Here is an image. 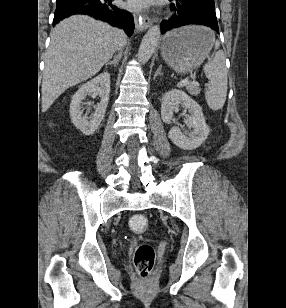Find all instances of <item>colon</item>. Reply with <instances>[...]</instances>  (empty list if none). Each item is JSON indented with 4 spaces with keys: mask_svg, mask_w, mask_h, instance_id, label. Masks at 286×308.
I'll return each instance as SVG.
<instances>
[{
    "mask_svg": "<svg viewBox=\"0 0 286 308\" xmlns=\"http://www.w3.org/2000/svg\"><path fill=\"white\" fill-rule=\"evenodd\" d=\"M129 225L136 232H144L148 228L149 221L145 215L136 214L130 219ZM154 262L155 252L151 245L141 244L136 248L134 253V266L142 279H147L150 276Z\"/></svg>",
    "mask_w": 286,
    "mask_h": 308,
    "instance_id": "colon-1",
    "label": "colon"
}]
</instances>
